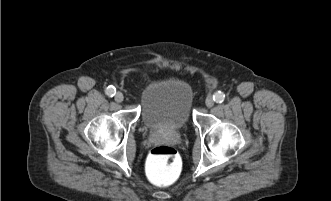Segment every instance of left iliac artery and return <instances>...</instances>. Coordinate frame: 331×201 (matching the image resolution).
<instances>
[{
    "instance_id": "left-iliac-artery-1",
    "label": "left iliac artery",
    "mask_w": 331,
    "mask_h": 201,
    "mask_svg": "<svg viewBox=\"0 0 331 201\" xmlns=\"http://www.w3.org/2000/svg\"><path fill=\"white\" fill-rule=\"evenodd\" d=\"M224 99H225V94L221 91H218L213 95V100L216 103H222L224 101Z\"/></svg>"
}]
</instances>
